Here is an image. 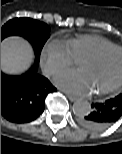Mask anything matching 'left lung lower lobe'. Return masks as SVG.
Masks as SVG:
<instances>
[{"instance_id":"0a47b994","label":"left lung lower lobe","mask_w":122,"mask_h":154,"mask_svg":"<svg viewBox=\"0 0 122 154\" xmlns=\"http://www.w3.org/2000/svg\"><path fill=\"white\" fill-rule=\"evenodd\" d=\"M122 116V93L102 103L92 105L89 114L80 117V124L90 130H104Z\"/></svg>"}]
</instances>
